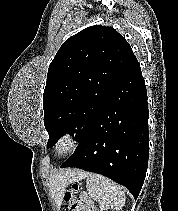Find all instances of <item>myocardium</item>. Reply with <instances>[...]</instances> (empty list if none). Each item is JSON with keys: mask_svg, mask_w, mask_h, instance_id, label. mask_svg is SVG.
<instances>
[{"mask_svg": "<svg viewBox=\"0 0 178 211\" xmlns=\"http://www.w3.org/2000/svg\"><path fill=\"white\" fill-rule=\"evenodd\" d=\"M78 143V137L75 133L65 131L58 136L53 149L57 155L66 156L76 150Z\"/></svg>", "mask_w": 178, "mask_h": 211, "instance_id": "1", "label": "myocardium"}]
</instances>
